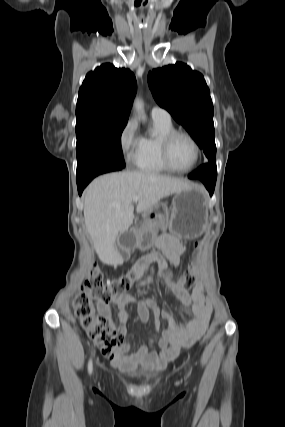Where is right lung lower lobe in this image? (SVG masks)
<instances>
[{
    "mask_svg": "<svg viewBox=\"0 0 285 427\" xmlns=\"http://www.w3.org/2000/svg\"><path fill=\"white\" fill-rule=\"evenodd\" d=\"M124 167L125 166L112 165V164H97L88 168L82 174L77 175V185H78L79 195L82 194L87 184L96 176L103 173H107V172L118 171L123 169Z\"/></svg>",
    "mask_w": 285,
    "mask_h": 427,
    "instance_id": "1",
    "label": "right lung lower lobe"
}]
</instances>
